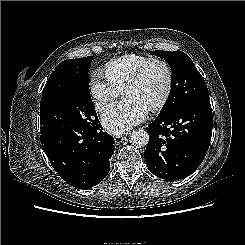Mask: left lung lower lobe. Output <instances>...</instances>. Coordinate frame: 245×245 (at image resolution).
Masks as SVG:
<instances>
[{
  "label": "left lung lower lobe",
  "mask_w": 245,
  "mask_h": 245,
  "mask_svg": "<svg viewBox=\"0 0 245 245\" xmlns=\"http://www.w3.org/2000/svg\"><path fill=\"white\" fill-rule=\"evenodd\" d=\"M209 97L195 98L146 128L149 142L144 153L149 170L168 181L184 179L202 163L212 136Z\"/></svg>",
  "instance_id": "left-lung-lower-lobe-1"
}]
</instances>
